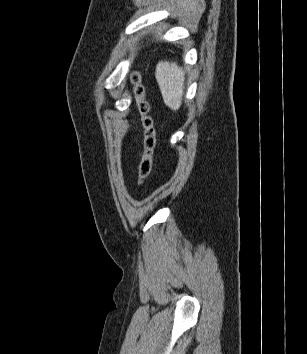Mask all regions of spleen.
<instances>
[{
	"label": "spleen",
	"mask_w": 307,
	"mask_h": 354,
	"mask_svg": "<svg viewBox=\"0 0 307 354\" xmlns=\"http://www.w3.org/2000/svg\"><path fill=\"white\" fill-rule=\"evenodd\" d=\"M185 74L175 62L160 61L156 66L155 77L166 106L176 111L183 97Z\"/></svg>",
	"instance_id": "spleen-1"
}]
</instances>
